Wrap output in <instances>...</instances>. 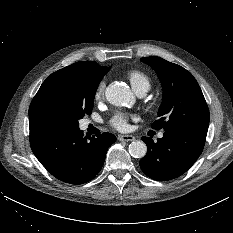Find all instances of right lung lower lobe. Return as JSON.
<instances>
[{
  "instance_id": "right-lung-lower-lobe-1",
  "label": "right lung lower lobe",
  "mask_w": 233,
  "mask_h": 233,
  "mask_svg": "<svg viewBox=\"0 0 233 233\" xmlns=\"http://www.w3.org/2000/svg\"><path fill=\"white\" fill-rule=\"evenodd\" d=\"M115 141L111 133L87 139L79 127H30V146L37 159L54 177L70 184H83L94 178Z\"/></svg>"
}]
</instances>
